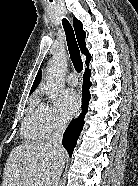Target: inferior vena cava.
I'll list each match as a JSON object with an SVG mask.
<instances>
[{
	"label": "inferior vena cava",
	"instance_id": "602c4592",
	"mask_svg": "<svg viewBox=\"0 0 138 186\" xmlns=\"http://www.w3.org/2000/svg\"><path fill=\"white\" fill-rule=\"evenodd\" d=\"M65 129H66V122L60 121L56 125V131L53 137L48 142V144L52 147L57 148L60 151L63 150L62 139H63V134L65 132ZM64 163H65L64 158L62 156H59V158L52 165L51 171L46 180V186H58V182L64 168Z\"/></svg>",
	"mask_w": 138,
	"mask_h": 186
}]
</instances>
